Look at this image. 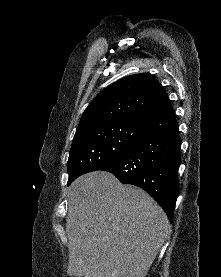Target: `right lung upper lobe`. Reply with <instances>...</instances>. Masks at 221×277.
<instances>
[{"mask_svg":"<svg viewBox=\"0 0 221 277\" xmlns=\"http://www.w3.org/2000/svg\"><path fill=\"white\" fill-rule=\"evenodd\" d=\"M169 102L166 91L149 73L124 77L101 91L83 112L76 133L106 125L139 121Z\"/></svg>","mask_w":221,"mask_h":277,"instance_id":"right-lung-upper-lobe-1","label":"right lung upper lobe"}]
</instances>
